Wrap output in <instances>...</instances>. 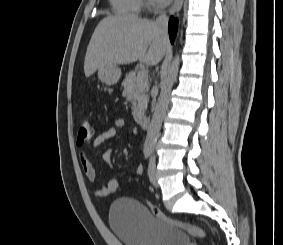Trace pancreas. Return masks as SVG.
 <instances>
[{
  "label": "pancreas",
  "mask_w": 283,
  "mask_h": 245,
  "mask_svg": "<svg viewBox=\"0 0 283 245\" xmlns=\"http://www.w3.org/2000/svg\"><path fill=\"white\" fill-rule=\"evenodd\" d=\"M137 71L129 72L123 81V94L132 103V114L135 119L145 111L149 101V82L140 78Z\"/></svg>",
  "instance_id": "pancreas-1"
}]
</instances>
